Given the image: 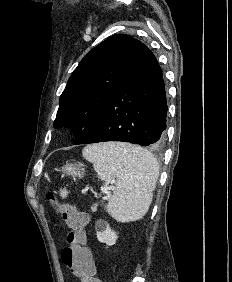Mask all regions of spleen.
Segmentation results:
<instances>
[{
  "instance_id": "spleen-1",
  "label": "spleen",
  "mask_w": 232,
  "mask_h": 282,
  "mask_svg": "<svg viewBox=\"0 0 232 282\" xmlns=\"http://www.w3.org/2000/svg\"><path fill=\"white\" fill-rule=\"evenodd\" d=\"M82 154L93 163L101 180H115V191L106 207L108 213L122 222L141 219L148 211L159 176V164L148 150L124 143L86 146ZM68 191L60 190L66 198Z\"/></svg>"
}]
</instances>
